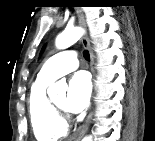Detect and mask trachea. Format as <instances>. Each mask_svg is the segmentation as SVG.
Here are the masks:
<instances>
[{
  "mask_svg": "<svg viewBox=\"0 0 155 141\" xmlns=\"http://www.w3.org/2000/svg\"><path fill=\"white\" fill-rule=\"evenodd\" d=\"M83 56H84V58H85L87 61L90 60V55H89V52H88L87 50H85V51L83 52Z\"/></svg>",
  "mask_w": 155,
  "mask_h": 141,
  "instance_id": "1",
  "label": "trachea"
}]
</instances>
